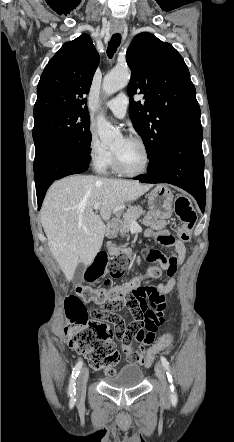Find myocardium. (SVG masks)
Instances as JSON below:
<instances>
[{"label": "myocardium", "mask_w": 234, "mask_h": 442, "mask_svg": "<svg viewBox=\"0 0 234 442\" xmlns=\"http://www.w3.org/2000/svg\"><path fill=\"white\" fill-rule=\"evenodd\" d=\"M125 140L135 142L141 146V148L143 149L144 155H145L144 165L138 171H128L122 167L117 154L113 151V167H114V169L119 174H121L123 176H127V177H137V176H141V175L146 174L148 172L150 164H151V152H150V149H149L147 143L143 139L136 137V136L127 137V138H125Z\"/></svg>", "instance_id": "myocardium-1"}]
</instances>
